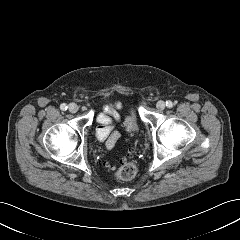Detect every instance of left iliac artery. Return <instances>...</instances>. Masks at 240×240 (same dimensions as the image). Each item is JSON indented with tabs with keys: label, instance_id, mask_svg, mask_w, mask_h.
Instances as JSON below:
<instances>
[{
	"label": "left iliac artery",
	"instance_id": "obj_1",
	"mask_svg": "<svg viewBox=\"0 0 240 240\" xmlns=\"http://www.w3.org/2000/svg\"><path fill=\"white\" fill-rule=\"evenodd\" d=\"M166 106H167L168 108H171V107H173V103H172L171 101H167V102H166Z\"/></svg>",
	"mask_w": 240,
	"mask_h": 240
}]
</instances>
